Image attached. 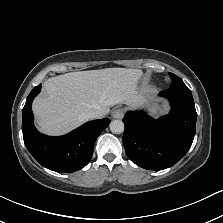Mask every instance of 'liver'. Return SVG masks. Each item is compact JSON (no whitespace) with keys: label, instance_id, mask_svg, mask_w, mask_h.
Segmentation results:
<instances>
[{"label":"liver","instance_id":"liver-1","mask_svg":"<svg viewBox=\"0 0 223 223\" xmlns=\"http://www.w3.org/2000/svg\"><path fill=\"white\" fill-rule=\"evenodd\" d=\"M142 74L140 69L106 68L49 78L44 82L46 95L33 103L39 130L64 134L87 121L91 110L107 114L109 107L119 103L135 108L147 102L144 92L138 91Z\"/></svg>","mask_w":223,"mask_h":223}]
</instances>
